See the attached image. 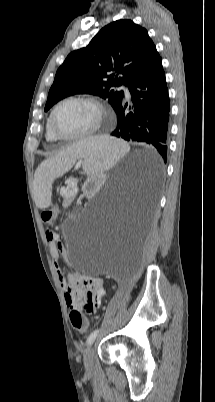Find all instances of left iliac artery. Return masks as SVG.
Wrapping results in <instances>:
<instances>
[{
    "label": "left iliac artery",
    "instance_id": "44dca946",
    "mask_svg": "<svg viewBox=\"0 0 215 402\" xmlns=\"http://www.w3.org/2000/svg\"><path fill=\"white\" fill-rule=\"evenodd\" d=\"M99 330H94L87 339V345H91L98 335Z\"/></svg>",
    "mask_w": 215,
    "mask_h": 402
}]
</instances>
